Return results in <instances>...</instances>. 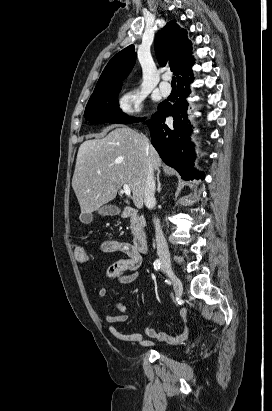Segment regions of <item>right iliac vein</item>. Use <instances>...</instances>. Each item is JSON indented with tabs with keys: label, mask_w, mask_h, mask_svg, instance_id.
<instances>
[{
	"label": "right iliac vein",
	"mask_w": 272,
	"mask_h": 411,
	"mask_svg": "<svg viewBox=\"0 0 272 411\" xmlns=\"http://www.w3.org/2000/svg\"><path fill=\"white\" fill-rule=\"evenodd\" d=\"M162 269H163L164 272H166V274L170 278V280H171V282L174 286L176 295L178 297H180L182 295V292H183V286H182L181 281L179 280V278L175 274L170 262L169 261H163L162 262Z\"/></svg>",
	"instance_id": "obj_1"
}]
</instances>
